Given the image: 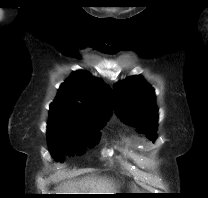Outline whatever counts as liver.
<instances>
[{
    "mask_svg": "<svg viewBox=\"0 0 208 198\" xmlns=\"http://www.w3.org/2000/svg\"><path fill=\"white\" fill-rule=\"evenodd\" d=\"M62 187L64 192H75L67 194H112L104 192H115L116 187L113 181L102 177H84L63 182ZM90 192V193H76Z\"/></svg>",
    "mask_w": 208,
    "mask_h": 198,
    "instance_id": "1",
    "label": "liver"
}]
</instances>
